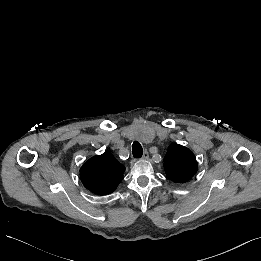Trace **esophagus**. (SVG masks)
<instances>
[{
	"label": "esophagus",
	"mask_w": 261,
	"mask_h": 261,
	"mask_svg": "<svg viewBox=\"0 0 261 261\" xmlns=\"http://www.w3.org/2000/svg\"><path fill=\"white\" fill-rule=\"evenodd\" d=\"M148 158H149V154H148L147 151H145L144 154H143V159L147 160Z\"/></svg>",
	"instance_id": "obj_1"
}]
</instances>
